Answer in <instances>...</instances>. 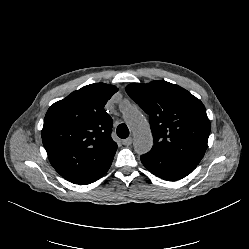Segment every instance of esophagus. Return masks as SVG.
<instances>
[{"mask_svg":"<svg viewBox=\"0 0 249 249\" xmlns=\"http://www.w3.org/2000/svg\"><path fill=\"white\" fill-rule=\"evenodd\" d=\"M122 144L125 145V146L131 145V144H132V138H131V137H128V138L124 139V140L122 141Z\"/></svg>","mask_w":249,"mask_h":249,"instance_id":"esophagus-1","label":"esophagus"}]
</instances>
